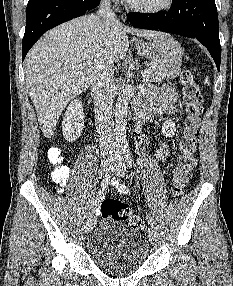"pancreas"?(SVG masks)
<instances>
[{"instance_id":"pancreas-1","label":"pancreas","mask_w":233,"mask_h":286,"mask_svg":"<svg viewBox=\"0 0 233 286\" xmlns=\"http://www.w3.org/2000/svg\"><path fill=\"white\" fill-rule=\"evenodd\" d=\"M149 74L145 75L143 79L148 82H162L164 79L172 80L179 76V68H167L157 65H151L148 68Z\"/></svg>"}]
</instances>
